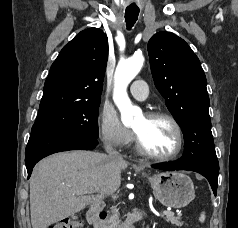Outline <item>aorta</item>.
Wrapping results in <instances>:
<instances>
[{"label": "aorta", "instance_id": "obj_1", "mask_svg": "<svg viewBox=\"0 0 238 228\" xmlns=\"http://www.w3.org/2000/svg\"><path fill=\"white\" fill-rule=\"evenodd\" d=\"M144 63L142 54H135L132 57L118 63L114 76L113 100L121 113V121L128 125L133 117L137 115L139 108L132 105L127 87L139 73Z\"/></svg>", "mask_w": 238, "mask_h": 228}]
</instances>
